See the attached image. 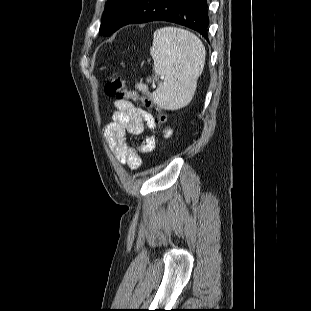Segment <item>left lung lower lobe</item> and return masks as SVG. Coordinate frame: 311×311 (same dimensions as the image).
Segmentation results:
<instances>
[{
	"label": "left lung lower lobe",
	"instance_id": "1",
	"mask_svg": "<svg viewBox=\"0 0 311 311\" xmlns=\"http://www.w3.org/2000/svg\"><path fill=\"white\" fill-rule=\"evenodd\" d=\"M151 21L177 23L207 38V0H130L120 13L113 32L127 24Z\"/></svg>",
	"mask_w": 311,
	"mask_h": 311
}]
</instances>
